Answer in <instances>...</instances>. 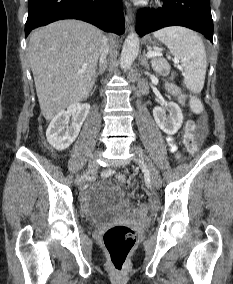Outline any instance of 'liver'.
Returning a JSON list of instances; mask_svg holds the SVG:
<instances>
[{"label":"liver","instance_id":"obj_1","mask_svg":"<svg viewBox=\"0 0 233 284\" xmlns=\"http://www.w3.org/2000/svg\"><path fill=\"white\" fill-rule=\"evenodd\" d=\"M101 35L95 26L77 20L57 21L30 35V64L47 121L89 96L96 79Z\"/></svg>","mask_w":233,"mask_h":284}]
</instances>
